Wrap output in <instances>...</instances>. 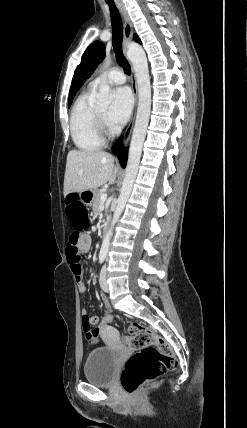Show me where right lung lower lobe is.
<instances>
[{
    "instance_id": "right-lung-lower-lobe-1",
    "label": "right lung lower lobe",
    "mask_w": 247,
    "mask_h": 428,
    "mask_svg": "<svg viewBox=\"0 0 247 428\" xmlns=\"http://www.w3.org/2000/svg\"><path fill=\"white\" fill-rule=\"evenodd\" d=\"M121 145L122 139H120L113 145V152L118 156L121 165L125 167L127 162V150L123 149Z\"/></svg>"
}]
</instances>
